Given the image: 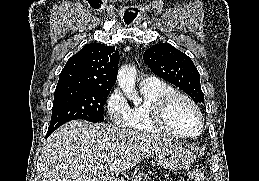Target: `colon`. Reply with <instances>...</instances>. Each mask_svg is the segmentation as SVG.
Masks as SVG:
<instances>
[{"mask_svg": "<svg viewBox=\"0 0 259 181\" xmlns=\"http://www.w3.org/2000/svg\"><path fill=\"white\" fill-rule=\"evenodd\" d=\"M206 170L203 165H195L189 173V181H205Z\"/></svg>", "mask_w": 259, "mask_h": 181, "instance_id": "obj_1", "label": "colon"}]
</instances>
